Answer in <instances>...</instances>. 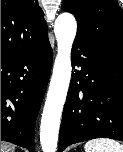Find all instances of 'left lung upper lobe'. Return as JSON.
Masks as SVG:
<instances>
[{"label": "left lung upper lobe", "instance_id": "left-lung-upper-lobe-1", "mask_svg": "<svg viewBox=\"0 0 123 152\" xmlns=\"http://www.w3.org/2000/svg\"><path fill=\"white\" fill-rule=\"evenodd\" d=\"M78 23L76 37L123 55V12L117 0H64Z\"/></svg>", "mask_w": 123, "mask_h": 152}]
</instances>
